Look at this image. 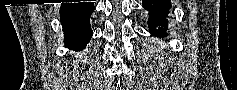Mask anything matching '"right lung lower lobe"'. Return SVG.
I'll return each instance as SVG.
<instances>
[{
  "mask_svg": "<svg viewBox=\"0 0 237 90\" xmlns=\"http://www.w3.org/2000/svg\"><path fill=\"white\" fill-rule=\"evenodd\" d=\"M93 11V2L61 4L60 20L67 48L80 51L89 42L93 34L89 17Z\"/></svg>",
  "mask_w": 237,
  "mask_h": 90,
  "instance_id": "right-lung-lower-lobe-1",
  "label": "right lung lower lobe"
}]
</instances>
